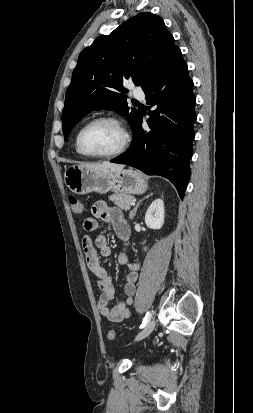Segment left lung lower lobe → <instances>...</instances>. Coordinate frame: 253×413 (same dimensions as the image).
Wrapping results in <instances>:
<instances>
[{
  "label": "left lung lower lobe",
  "mask_w": 253,
  "mask_h": 413,
  "mask_svg": "<svg viewBox=\"0 0 253 413\" xmlns=\"http://www.w3.org/2000/svg\"><path fill=\"white\" fill-rule=\"evenodd\" d=\"M144 92L147 104L155 107L148 113L151 131L142 128L140 115L129 150L111 162L135 167L147 175L163 176L183 198L190 177L196 98L179 48Z\"/></svg>",
  "instance_id": "left-lung-lower-lobe-1"
}]
</instances>
